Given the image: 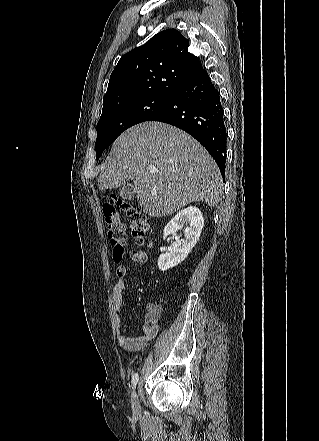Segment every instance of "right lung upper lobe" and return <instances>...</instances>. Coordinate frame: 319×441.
I'll return each mask as SVG.
<instances>
[{
  "instance_id": "obj_1",
  "label": "right lung upper lobe",
  "mask_w": 319,
  "mask_h": 441,
  "mask_svg": "<svg viewBox=\"0 0 319 441\" xmlns=\"http://www.w3.org/2000/svg\"><path fill=\"white\" fill-rule=\"evenodd\" d=\"M188 47V39L178 30L167 29L122 56L110 76L102 111L142 97L171 98L183 83L203 70Z\"/></svg>"
}]
</instances>
